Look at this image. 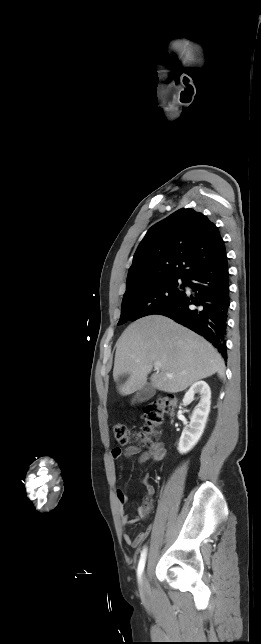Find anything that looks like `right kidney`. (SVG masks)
<instances>
[{
  "mask_svg": "<svg viewBox=\"0 0 261 644\" xmlns=\"http://www.w3.org/2000/svg\"><path fill=\"white\" fill-rule=\"evenodd\" d=\"M196 393L200 394L201 399L192 413L189 425L184 428L180 437L178 451L181 454L189 452L197 444L203 434L210 412L211 390L204 381L195 382L190 387L183 398V404H190Z\"/></svg>",
  "mask_w": 261,
  "mask_h": 644,
  "instance_id": "obj_1",
  "label": "right kidney"
}]
</instances>
